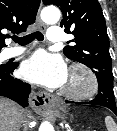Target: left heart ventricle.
<instances>
[{
  "label": "left heart ventricle",
  "mask_w": 117,
  "mask_h": 131,
  "mask_svg": "<svg viewBox=\"0 0 117 131\" xmlns=\"http://www.w3.org/2000/svg\"><path fill=\"white\" fill-rule=\"evenodd\" d=\"M83 78L79 73H69L63 87L68 89H81L83 87Z\"/></svg>",
  "instance_id": "1"
}]
</instances>
